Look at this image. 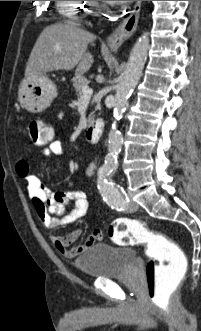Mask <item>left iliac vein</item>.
Instances as JSON below:
<instances>
[{
  "mask_svg": "<svg viewBox=\"0 0 201 331\" xmlns=\"http://www.w3.org/2000/svg\"><path fill=\"white\" fill-rule=\"evenodd\" d=\"M130 209L136 211L138 209V204L134 201L130 202Z\"/></svg>",
  "mask_w": 201,
  "mask_h": 331,
  "instance_id": "4c4485c4",
  "label": "left iliac vein"
}]
</instances>
